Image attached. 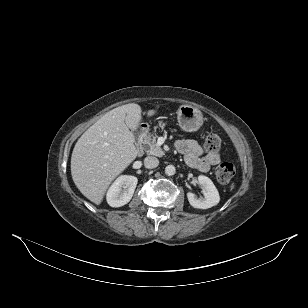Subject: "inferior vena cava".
Wrapping results in <instances>:
<instances>
[{"mask_svg":"<svg viewBox=\"0 0 308 308\" xmlns=\"http://www.w3.org/2000/svg\"><path fill=\"white\" fill-rule=\"evenodd\" d=\"M159 165V160L153 156H147L144 159V166L148 169L156 168Z\"/></svg>","mask_w":308,"mask_h":308,"instance_id":"1","label":"inferior vena cava"}]
</instances>
